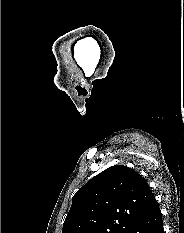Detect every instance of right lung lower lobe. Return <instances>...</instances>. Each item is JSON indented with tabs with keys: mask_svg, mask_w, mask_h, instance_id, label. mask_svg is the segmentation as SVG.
<instances>
[{
	"mask_svg": "<svg viewBox=\"0 0 184 233\" xmlns=\"http://www.w3.org/2000/svg\"><path fill=\"white\" fill-rule=\"evenodd\" d=\"M126 233H164L158 204L139 219Z\"/></svg>",
	"mask_w": 184,
	"mask_h": 233,
	"instance_id": "obj_1",
	"label": "right lung lower lobe"
}]
</instances>
